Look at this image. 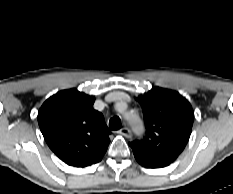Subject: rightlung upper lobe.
<instances>
[{
  "label": "right lung upper lobe",
  "mask_w": 233,
  "mask_h": 194,
  "mask_svg": "<svg viewBox=\"0 0 233 194\" xmlns=\"http://www.w3.org/2000/svg\"><path fill=\"white\" fill-rule=\"evenodd\" d=\"M94 101L77 89L63 90L39 110L38 124L48 146L69 166L99 162L110 143V131L103 115L93 109Z\"/></svg>",
  "instance_id": "right-lung-upper-lobe-1"
}]
</instances>
